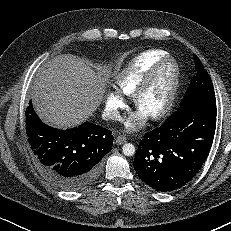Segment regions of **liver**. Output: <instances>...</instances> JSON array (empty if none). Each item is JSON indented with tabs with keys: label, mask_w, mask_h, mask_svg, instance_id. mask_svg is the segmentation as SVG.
Masks as SVG:
<instances>
[{
	"label": "liver",
	"mask_w": 231,
	"mask_h": 231,
	"mask_svg": "<svg viewBox=\"0 0 231 231\" xmlns=\"http://www.w3.org/2000/svg\"><path fill=\"white\" fill-rule=\"evenodd\" d=\"M106 78L84 59L61 54L43 64L32 86V99L39 117L59 128L74 127L99 106Z\"/></svg>",
	"instance_id": "liver-1"
}]
</instances>
